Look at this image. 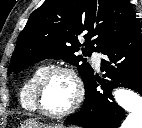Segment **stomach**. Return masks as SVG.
Returning a JSON list of instances; mask_svg holds the SVG:
<instances>
[{
  "instance_id": "0dacf381",
  "label": "stomach",
  "mask_w": 142,
  "mask_h": 128,
  "mask_svg": "<svg viewBox=\"0 0 142 128\" xmlns=\"http://www.w3.org/2000/svg\"><path fill=\"white\" fill-rule=\"evenodd\" d=\"M20 128H65V126L62 124H43L34 119H28Z\"/></svg>"
}]
</instances>
